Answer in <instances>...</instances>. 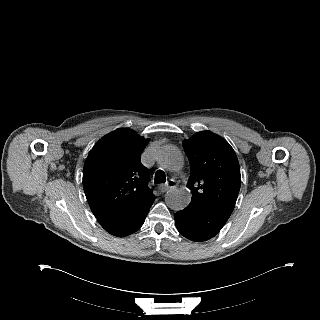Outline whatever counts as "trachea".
Here are the masks:
<instances>
[{
    "label": "trachea",
    "instance_id": "1",
    "mask_svg": "<svg viewBox=\"0 0 320 320\" xmlns=\"http://www.w3.org/2000/svg\"><path fill=\"white\" fill-rule=\"evenodd\" d=\"M154 182H155L156 184H160V183H165V182H166V175H165V173H164L162 170H158V171L155 173Z\"/></svg>",
    "mask_w": 320,
    "mask_h": 320
}]
</instances>
